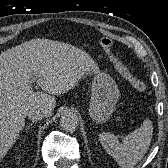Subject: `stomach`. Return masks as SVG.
Listing matches in <instances>:
<instances>
[{"label": "stomach", "instance_id": "0dacf381", "mask_svg": "<svg viewBox=\"0 0 168 168\" xmlns=\"http://www.w3.org/2000/svg\"><path fill=\"white\" fill-rule=\"evenodd\" d=\"M91 101L88 112L96 123H105L111 117L119 98V89L111 76L92 71Z\"/></svg>", "mask_w": 168, "mask_h": 168}]
</instances>
